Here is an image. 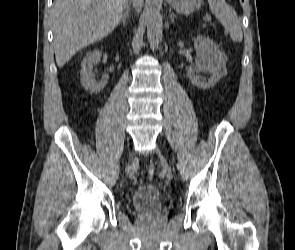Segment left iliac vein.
I'll use <instances>...</instances> for the list:
<instances>
[{
    "label": "left iliac vein",
    "instance_id": "1",
    "mask_svg": "<svg viewBox=\"0 0 295 250\" xmlns=\"http://www.w3.org/2000/svg\"><path fill=\"white\" fill-rule=\"evenodd\" d=\"M156 152L159 154V156L161 158L163 171L166 173V176L169 179H172L173 174H172V170L167 162V159L163 156V154L161 153V151L159 149H156Z\"/></svg>",
    "mask_w": 295,
    "mask_h": 250
}]
</instances>
